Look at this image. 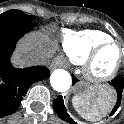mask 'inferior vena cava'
<instances>
[{"label": "inferior vena cava", "instance_id": "602c4592", "mask_svg": "<svg viewBox=\"0 0 124 124\" xmlns=\"http://www.w3.org/2000/svg\"><path fill=\"white\" fill-rule=\"evenodd\" d=\"M44 60L43 57H40L38 55H30L29 56V61L32 62V63H37V64H40L42 63Z\"/></svg>", "mask_w": 124, "mask_h": 124}]
</instances>
